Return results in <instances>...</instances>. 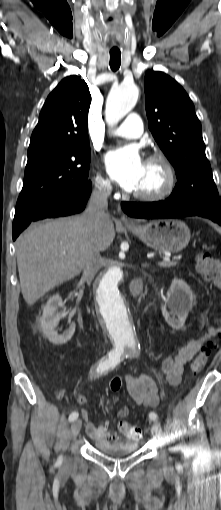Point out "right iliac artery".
I'll list each match as a JSON object with an SVG mask.
<instances>
[{
    "instance_id": "right-iliac-artery-1",
    "label": "right iliac artery",
    "mask_w": 221,
    "mask_h": 510,
    "mask_svg": "<svg viewBox=\"0 0 221 510\" xmlns=\"http://www.w3.org/2000/svg\"><path fill=\"white\" fill-rule=\"evenodd\" d=\"M122 353L117 350H111L106 358H103L97 367V372L102 373L105 371H108L110 368H114L119 362L121 358ZM78 418V412H72L69 415V421L73 422ZM58 463L62 462V456H60L57 460Z\"/></svg>"
}]
</instances>
